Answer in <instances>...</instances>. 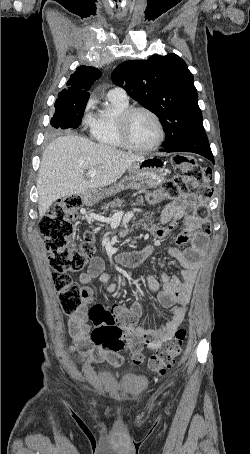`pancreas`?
Here are the masks:
<instances>
[{"mask_svg":"<svg viewBox=\"0 0 250 454\" xmlns=\"http://www.w3.org/2000/svg\"><path fill=\"white\" fill-rule=\"evenodd\" d=\"M122 203H123L122 200L116 199V200H114V201H112V202H110V203H108V204H105V205L103 206V209H104L105 211H108V210H109V207L114 208V207H116V206H119V205L122 204Z\"/></svg>","mask_w":250,"mask_h":454,"instance_id":"obj_1","label":"pancreas"}]
</instances>
